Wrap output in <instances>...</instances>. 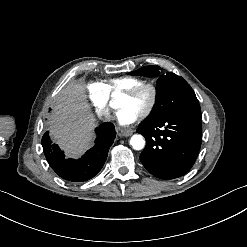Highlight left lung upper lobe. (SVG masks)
Returning <instances> with one entry per match:
<instances>
[{"label": "left lung upper lobe", "mask_w": 247, "mask_h": 247, "mask_svg": "<svg viewBox=\"0 0 247 247\" xmlns=\"http://www.w3.org/2000/svg\"><path fill=\"white\" fill-rule=\"evenodd\" d=\"M160 67L157 65L145 66L131 72V75L157 77ZM156 103L150 115L143 121L153 123L166 116L187 113L201 117L199 101L191 86L172 72L161 75L157 81Z\"/></svg>", "instance_id": "5c2ea615"}]
</instances>
